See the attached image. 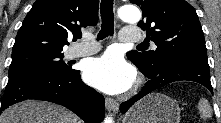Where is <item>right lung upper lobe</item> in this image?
Masks as SVG:
<instances>
[{
  "label": "right lung upper lobe",
  "instance_id": "1",
  "mask_svg": "<svg viewBox=\"0 0 221 123\" xmlns=\"http://www.w3.org/2000/svg\"><path fill=\"white\" fill-rule=\"evenodd\" d=\"M99 0H37L19 29L12 53L62 51L68 39L82 37L81 28L98 21Z\"/></svg>",
  "mask_w": 221,
  "mask_h": 123
}]
</instances>
